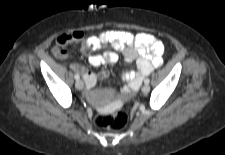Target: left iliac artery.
I'll list each match as a JSON object with an SVG mask.
<instances>
[{
    "label": "left iliac artery",
    "instance_id": "1",
    "mask_svg": "<svg viewBox=\"0 0 225 155\" xmlns=\"http://www.w3.org/2000/svg\"><path fill=\"white\" fill-rule=\"evenodd\" d=\"M149 82H150V80H149L148 78H146V79L144 80V83H145V84H149Z\"/></svg>",
    "mask_w": 225,
    "mask_h": 155
}]
</instances>
